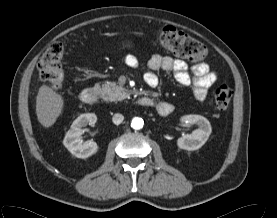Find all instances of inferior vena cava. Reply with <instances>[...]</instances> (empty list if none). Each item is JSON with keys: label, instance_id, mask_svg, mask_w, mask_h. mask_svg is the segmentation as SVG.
Returning a JSON list of instances; mask_svg holds the SVG:
<instances>
[{"label": "inferior vena cava", "instance_id": "602c4592", "mask_svg": "<svg viewBox=\"0 0 277 218\" xmlns=\"http://www.w3.org/2000/svg\"><path fill=\"white\" fill-rule=\"evenodd\" d=\"M123 120H124V116L120 113H116L112 117V121L115 125L121 124L123 122Z\"/></svg>", "mask_w": 277, "mask_h": 218}]
</instances>
